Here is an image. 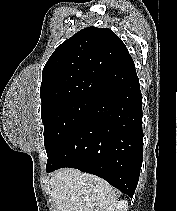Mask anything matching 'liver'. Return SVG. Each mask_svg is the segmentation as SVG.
<instances>
[{"label": "liver", "instance_id": "obj_1", "mask_svg": "<svg viewBox=\"0 0 178 211\" xmlns=\"http://www.w3.org/2000/svg\"><path fill=\"white\" fill-rule=\"evenodd\" d=\"M50 185L56 211H106L119 197L102 178L73 168L54 172Z\"/></svg>", "mask_w": 178, "mask_h": 211}]
</instances>
